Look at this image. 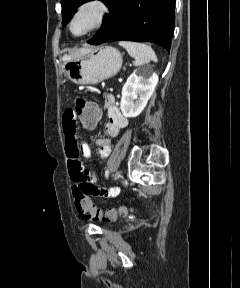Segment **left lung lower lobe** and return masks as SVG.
Masks as SVG:
<instances>
[{"label": "left lung lower lobe", "mask_w": 240, "mask_h": 288, "mask_svg": "<svg viewBox=\"0 0 240 288\" xmlns=\"http://www.w3.org/2000/svg\"><path fill=\"white\" fill-rule=\"evenodd\" d=\"M174 8L175 0H112L102 27L87 42L92 45L117 40L152 42L169 52Z\"/></svg>", "instance_id": "obj_1"}]
</instances>
